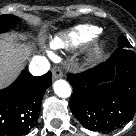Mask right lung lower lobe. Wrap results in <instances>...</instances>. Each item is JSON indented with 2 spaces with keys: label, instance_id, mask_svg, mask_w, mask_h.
Here are the masks:
<instances>
[{
  "label": "right lung lower lobe",
  "instance_id": "1",
  "mask_svg": "<svg viewBox=\"0 0 136 136\" xmlns=\"http://www.w3.org/2000/svg\"><path fill=\"white\" fill-rule=\"evenodd\" d=\"M52 75L35 77L23 70L9 87L0 90V136H22L34 127Z\"/></svg>",
  "mask_w": 136,
  "mask_h": 136
}]
</instances>
